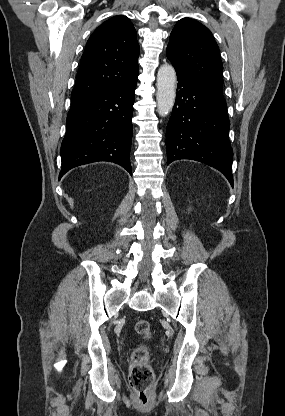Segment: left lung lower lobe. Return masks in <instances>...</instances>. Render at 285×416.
Returning <instances> with one entry per match:
<instances>
[{
    "instance_id": "1",
    "label": "left lung lower lobe",
    "mask_w": 285,
    "mask_h": 416,
    "mask_svg": "<svg viewBox=\"0 0 285 416\" xmlns=\"http://www.w3.org/2000/svg\"><path fill=\"white\" fill-rule=\"evenodd\" d=\"M177 77V97L166 130L167 165L196 160L218 169L233 187L230 122L223 95Z\"/></svg>"
}]
</instances>
